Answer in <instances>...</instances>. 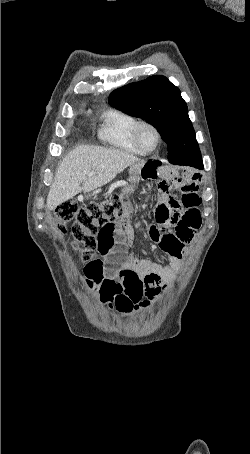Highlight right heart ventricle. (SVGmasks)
<instances>
[{"label":"right heart ventricle","instance_id":"e07e8e85","mask_svg":"<svg viewBox=\"0 0 250 454\" xmlns=\"http://www.w3.org/2000/svg\"><path fill=\"white\" fill-rule=\"evenodd\" d=\"M137 122V118L133 115L118 109H111L103 115L98 137L116 149L142 155L144 152L136 145L133 138Z\"/></svg>","mask_w":250,"mask_h":454}]
</instances>
